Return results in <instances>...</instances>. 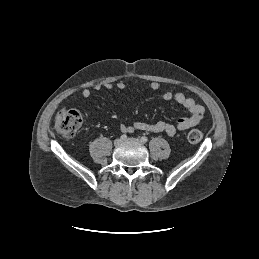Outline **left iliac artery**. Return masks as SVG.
<instances>
[{
	"label": "left iliac artery",
	"mask_w": 259,
	"mask_h": 259,
	"mask_svg": "<svg viewBox=\"0 0 259 259\" xmlns=\"http://www.w3.org/2000/svg\"><path fill=\"white\" fill-rule=\"evenodd\" d=\"M141 141H142L143 143H146V142L148 141V138H147L146 136H142V137H141Z\"/></svg>",
	"instance_id": "left-iliac-artery-1"
}]
</instances>
